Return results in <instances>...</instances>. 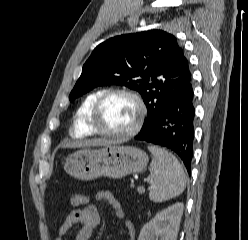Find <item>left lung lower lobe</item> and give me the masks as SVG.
<instances>
[{"label":"left lung lower lobe","instance_id":"1","mask_svg":"<svg viewBox=\"0 0 248 240\" xmlns=\"http://www.w3.org/2000/svg\"><path fill=\"white\" fill-rule=\"evenodd\" d=\"M195 107L190 83L173 94L135 139L167 147L182 159L190 173L193 158Z\"/></svg>","mask_w":248,"mask_h":240}]
</instances>
